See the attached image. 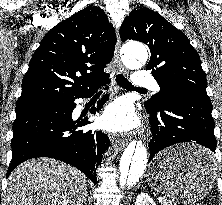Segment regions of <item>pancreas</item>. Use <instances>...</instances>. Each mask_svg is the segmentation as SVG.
<instances>
[{"label": "pancreas", "mask_w": 222, "mask_h": 205, "mask_svg": "<svg viewBox=\"0 0 222 205\" xmlns=\"http://www.w3.org/2000/svg\"><path fill=\"white\" fill-rule=\"evenodd\" d=\"M162 205H177V204L173 201L165 200Z\"/></svg>", "instance_id": "cf45deb5"}]
</instances>
